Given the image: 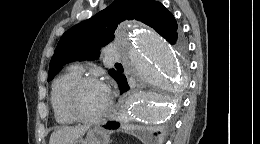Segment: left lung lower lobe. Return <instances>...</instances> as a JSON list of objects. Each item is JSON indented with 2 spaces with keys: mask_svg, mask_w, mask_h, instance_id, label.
Returning a JSON list of instances; mask_svg holds the SVG:
<instances>
[{
  "mask_svg": "<svg viewBox=\"0 0 260 144\" xmlns=\"http://www.w3.org/2000/svg\"><path fill=\"white\" fill-rule=\"evenodd\" d=\"M183 42V39H182V35L180 33H177L173 36V39L171 42H169L170 44H180ZM118 85H119V88H120V91H121V94L127 92L129 90V85L127 83V80H126V77L124 74H120L118 76V78L116 79ZM120 127V123L117 122V121H109L106 125H104V128L106 129H117Z\"/></svg>",
  "mask_w": 260,
  "mask_h": 144,
  "instance_id": "1",
  "label": "left lung lower lobe"
}]
</instances>
